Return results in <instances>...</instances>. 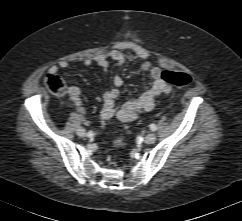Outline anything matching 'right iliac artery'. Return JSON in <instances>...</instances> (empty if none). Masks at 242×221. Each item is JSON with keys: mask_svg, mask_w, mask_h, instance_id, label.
<instances>
[{"mask_svg": "<svg viewBox=\"0 0 242 221\" xmlns=\"http://www.w3.org/2000/svg\"><path fill=\"white\" fill-rule=\"evenodd\" d=\"M93 135V132L92 131H89L88 132V136L91 137Z\"/></svg>", "mask_w": 242, "mask_h": 221, "instance_id": "right-iliac-artery-1", "label": "right iliac artery"}]
</instances>
